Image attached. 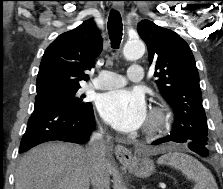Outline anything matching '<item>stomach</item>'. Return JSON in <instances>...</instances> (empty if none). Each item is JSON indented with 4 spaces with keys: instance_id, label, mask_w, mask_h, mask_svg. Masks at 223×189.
Listing matches in <instances>:
<instances>
[{
    "instance_id": "1",
    "label": "stomach",
    "mask_w": 223,
    "mask_h": 189,
    "mask_svg": "<svg viewBox=\"0 0 223 189\" xmlns=\"http://www.w3.org/2000/svg\"><path fill=\"white\" fill-rule=\"evenodd\" d=\"M125 166L140 178L149 177L154 171V164L149 159L136 158L133 163H126Z\"/></svg>"
}]
</instances>
